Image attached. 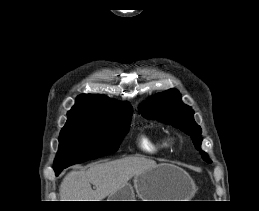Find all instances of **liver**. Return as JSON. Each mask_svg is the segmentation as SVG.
Masks as SVG:
<instances>
[{
  "label": "liver",
  "mask_w": 259,
  "mask_h": 211,
  "mask_svg": "<svg viewBox=\"0 0 259 211\" xmlns=\"http://www.w3.org/2000/svg\"><path fill=\"white\" fill-rule=\"evenodd\" d=\"M156 166L154 160L130 156L95 163L85 171H71L60 185L61 201H102L127 184L133 176Z\"/></svg>",
  "instance_id": "obj_1"
}]
</instances>
